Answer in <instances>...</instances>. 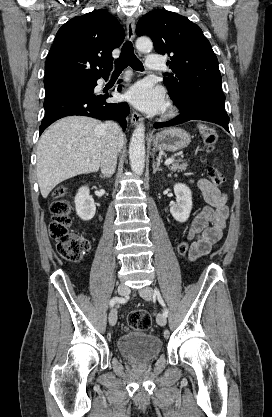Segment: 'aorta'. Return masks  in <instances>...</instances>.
I'll return each instance as SVG.
<instances>
[{
    "instance_id": "762f6f07",
    "label": "aorta",
    "mask_w": 272,
    "mask_h": 417,
    "mask_svg": "<svg viewBox=\"0 0 272 417\" xmlns=\"http://www.w3.org/2000/svg\"><path fill=\"white\" fill-rule=\"evenodd\" d=\"M136 48L141 52H149L153 48V43L147 37H140L136 41ZM129 159L132 171L141 175L145 167V127L143 125H139L132 134Z\"/></svg>"
}]
</instances>
